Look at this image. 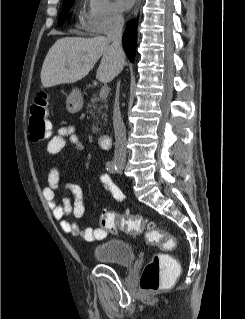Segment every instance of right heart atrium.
<instances>
[{
  "label": "right heart atrium",
  "mask_w": 245,
  "mask_h": 319,
  "mask_svg": "<svg viewBox=\"0 0 245 319\" xmlns=\"http://www.w3.org/2000/svg\"><path fill=\"white\" fill-rule=\"evenodd\" d=\"M121 23L122 13L112 0H86L81 18V26L86 33L105 34L118 28Z\"/></svg>",
  "instance_id": "d8ad5b80"
}]
</instances>
